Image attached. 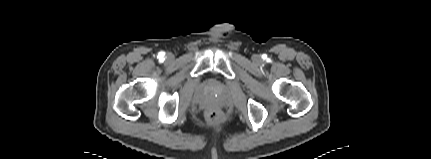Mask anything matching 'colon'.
Wrapping results in <instances>:
<instances>
[{
	"label": "colon",
	"mask_w": 431,
	"mask_h": 159,
	"mask_svg": "<svg viewBox=\"0 0 431 159\" xmlns=\"http://www.w3.org/2000/svg\"><path fill=\"white\" fill-rule=\"evenodd\" d=\"M206 119L210 123H218L221 120V114L217 110H209L206 112Z\"/></svg>",
	"instance_id": "colon-1"
}]
</instances>
